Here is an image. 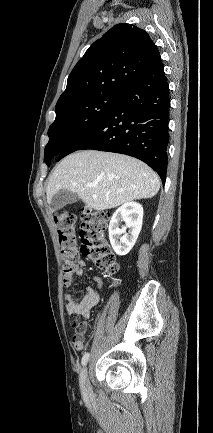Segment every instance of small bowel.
Returning a JSON list of instances; mask_svg holds the SVG:
<instances>
[{
    "mask_svg": "<svg viewBox=\"0 0 213 433\" xmlns=\"http://www.w3.org/2000/svg\"><path fill=\"white\" fill-rule=\"evenodd\" d=\"M82 274L81 264L77 263L73 272V278H78ZM99 293L91 287L85 289L84 295L80 301H77L73 297H68L67 301V313L70 316L81 317L88 320L91 315V310L99 303ZM86 324L83 323V330L78 335L75 334L73 342L74 346L78 351L84 349Z\"/></svg>",
    "mask_w": 213,
    "mask_h": 433,
    "instance_id": "obj_1",
    "label": "small bowel"
}]
</instances>
